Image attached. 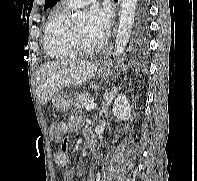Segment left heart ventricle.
I'll return each instance as SVG.
<instances>
[{"instance_id": "b2bd125f", "label": "left heart ventricle", "mask_w": 197, "mask_h": 181, "mask_svg": "<svg viewBox=\"0 0 197 181\" xmlns=\"http://www.w3.org/2000/svg\"><path fill=\"white\" fill-rule=\"evenodd\" d=\"M75 30L80 38L81 42L88 46L93 47L96 46L99 42L96 41L93 37H91L87 31V23L81 22L74 25Z\"/></svg>"}]
</instances>
